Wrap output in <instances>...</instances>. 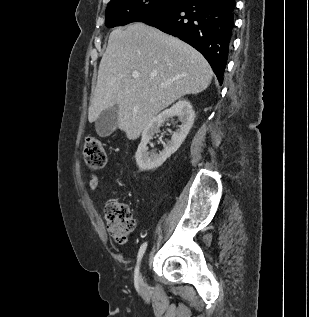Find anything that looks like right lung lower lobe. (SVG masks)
<instances>
[{"mask_svg": "<svg viewBox=\"0 0 309 317\" xmlns=\"http://www.w3.org/2000/svg\"><path fill=\"white\" fill-rule=\"evenodd\" d=\"M235 0H186L137 18L197 49L223 82L234 28Z\"/></svg>", "mask_w": 309, "mask_h": 317, "instance_id": "right-lung-lower-lobe-1", "label": "right lung lower lobe"}]
</instances>
